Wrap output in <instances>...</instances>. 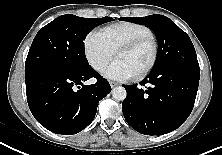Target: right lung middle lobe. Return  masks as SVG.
Here are the masks:
<instances>
[{
  "label": "right lung middle lobe",
  "mask_w": 222,
  "mask_h": 155,
  "mask_svg": "<svg viewBox=\"0 0 222 155\" xmlns=\"http://www.w3.org/2000/svg\"><path fill=\"white\" fill-rule=\"evenodd\" d=\"M111 17L82 18L71 14L57 17L39 30L26 62V80L50 70L74 71L87 67L84 51L86 35Z\"/></svg>",
  "instance_id": "obj_1"
}]
</instances>
